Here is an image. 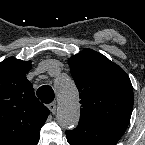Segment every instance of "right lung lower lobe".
<instances>
[{"mask_svg":"<svg viewBox=\"0 0 145 145\" xmlns=\"http://www.w3.org/2000/svg\"><path fill=\"white\" fill-rule=\"evenodd\" d=\"M38 143V140L36 142H34L32 145H36Z\"/></svg>","mask_w":145,"mask_h":145,"instance_id":"right-lung-lower-lobe-1","label":"right lung lower lobe"}]
</instances>
